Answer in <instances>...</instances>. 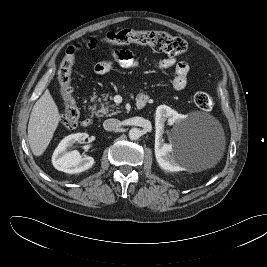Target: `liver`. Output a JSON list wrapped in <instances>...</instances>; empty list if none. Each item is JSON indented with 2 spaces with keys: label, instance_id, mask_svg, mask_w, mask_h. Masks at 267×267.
<instances>
[{
  "label": "liver",
  "instance_id": "obj_1",
  "mask_svg": "<svg viewBox=\"0 0 267 267\" xmlns=\"http://www.w3.org/2000/svg\"><path fill=\"white\" fill-rule=\"evenodd\" d=\"M61 117L49 90L35 103L28 124V140L32 153L41 156L47 149Z\"/></svg>",
  "mask_w": 267,
  "mask_h": 267
}]
</instances>
